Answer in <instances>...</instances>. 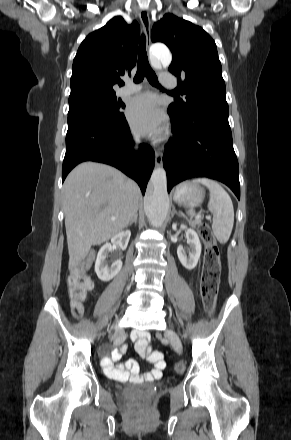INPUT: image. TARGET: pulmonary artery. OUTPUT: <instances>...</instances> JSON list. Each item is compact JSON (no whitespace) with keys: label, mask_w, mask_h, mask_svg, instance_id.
I'll return each instance as SVG.
<instances>
[{"label":"pulmonary artery","mask_w":291,"mask_h":440,"mask_svg":"<svg viewBox=\"0 0 291 440\" xmlns=\"http://www.w3.org/2000/svg\"><path fill=\"white\" fill-rule=\"evenodd\" d=\"M160 82L167 86H174L176 84L175 75L171 73L162 74L160 77ZM140 89V83L127 82L126 85L118 91V95L121 97H126L137 93L138 91H140Z\"/></svg>","instance_id":"pulmonary-artery-1"}]
</instances>
